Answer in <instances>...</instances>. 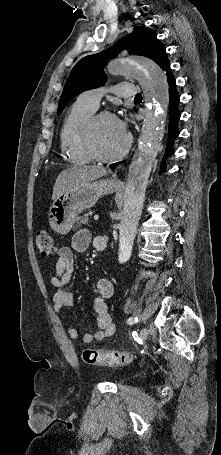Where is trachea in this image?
Returning <instances> with one entry per match:
<instances>
[{
  "label": "trachea",
  "instance_id": "3493384b",
  "mask_svg": "<svg viewBox=\"0 0 221 455\" xmlns=\"http://www.w3.org/2000/svg\"><path fill=\"white\" fill-rule=\"evenodd\" d=\"M135 98H142V95H141V94H137V95L135 96Z\"/></svg>",
  "mask_w": 221,
  "mask_h": 455
}]
</instances>
